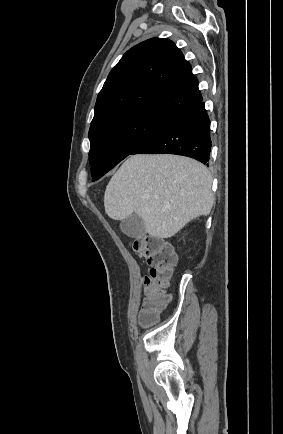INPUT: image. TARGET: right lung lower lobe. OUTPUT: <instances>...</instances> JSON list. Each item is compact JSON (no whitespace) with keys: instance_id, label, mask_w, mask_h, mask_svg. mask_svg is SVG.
<instances>
[{"instance_id":"right-lung-lower-lobe-1","label":"right lung lower lobe","mask_w":283,"mask_h":434,"mask_svg":"<svg viewBox=\"0 0 283 434\" xmlns=\"http://www.w3.org/2000/svg\"><path fill=\"white\" fill-rule=\"evenodd\" d=\"M211 152L210 119L204 102H199L170 119L131 154L162 153L194 158L204 164Z\"/></svg>"}]
</instances>
